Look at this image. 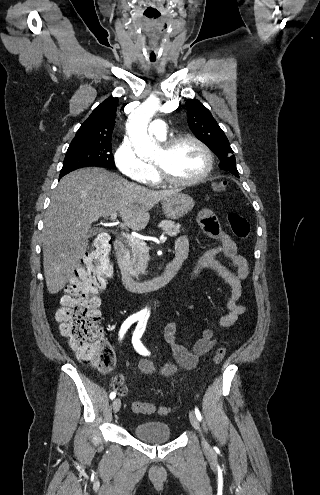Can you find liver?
Wrapping results in <instances>:
<instances>
[{"label": "liver", "instance_id": "liver-1", "mask_svg": "<svg viewBox=\"0 0 320 495\" xmlns=\"http://www.w3.org/2000/svg\"><path fill=\"white\" fill-rule=\"evenodd\" d=\"M176 192L149 190L101 168L79 169L64 176L52 195L42 231L49 293L62 290L79 266L92 223L119 213L126 227L140 231L149 222V210Z\"/></svg>", "mask_w": 320, "mask_h": 495}]
</instances>
